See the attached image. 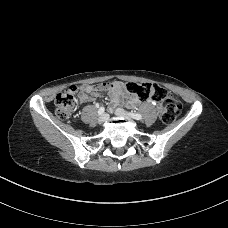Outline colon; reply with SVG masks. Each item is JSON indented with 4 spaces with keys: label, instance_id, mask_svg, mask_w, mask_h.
Segmentation results:
<instances>
[{
    "label": "colon",
    "instance_id": "colon-1",
    "mask_svg": "<svg viewBox=\"0 0 228 228\" xmlns=\"http://www.w3.org/2000/svg\"><path fill=\"white\" fill-rule=\"evenodd\" d=\"M125 89L141 100H160L162 101V120L164 123H172L180 115L182 106L174 97L166 95L159 86L151 83L127 82ZM78 89L70 87L57 94L55 97V112L58 118L66 120L74 113L76 94Z\"/></svg>",
    "mask_w": 228,
    "mask_h": 228
}]
</instances>
